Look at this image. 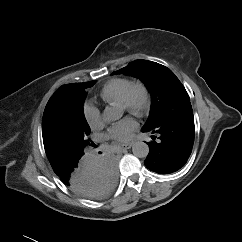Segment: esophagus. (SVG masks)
<instances>
[{"label": "esophagus", "instance_id": "1", "mask_svg": "<svg viewBox=\"0 0 242 242\" xmlns=\"http://www.w3.org/2000/svg\"><path fill=\"white\" fill-rule=\"evenodd\" d=\"M133 143H126V144H122L121 145V149L123 151L127 150V149H130L132 147Z\"/></svg>", "mask_w": 242, "mask_h": 242}]
</instances>
